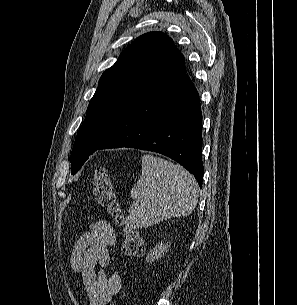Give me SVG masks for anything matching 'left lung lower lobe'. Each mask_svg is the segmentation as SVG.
<instances>
[{"label":"left lung lower lobe","mask_w":297,"mask_h":305,"mask_svg":"<svg viewBox=\"0 0 297 305\" xmlns=\"http://www.w3.org/2000/svg\"><path fill=\"white\" fill-rule=\"evenodd\" d=\"M119 147L168 156L202 187V114L199 94L188 75L151 85L127 108L97 150Z\"/></svg>","instance_id":"left-lung-lower-lobe-1"}]
</instances>
